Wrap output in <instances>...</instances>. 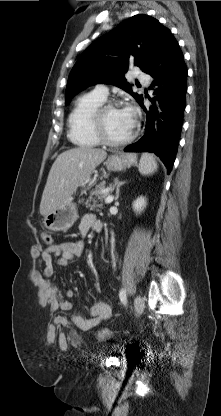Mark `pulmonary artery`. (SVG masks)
Listing matches in <instances>:
<instances>
[{"mask_svg": "<svg viewBox=\"0 0 221 416\" xmlns=\"http://www.w3.org/2000/svg\"><path fill=\"white\" fill-rule=\"evenodd\" d=\"M138 79H139V81H140L141 83L148 84V77H147V76H145V75H140ZM94 91H95L97 94H99V95H101V96H103V97H107V96H108V94H109V92H108V88H107V87H106V85H104V84H98V85H96V86H95V88H94Z\"/></svg>", "mask_w": 221, "mask_h": 416, "instance_id": "1", "label": "pulmonary artery"}]
</instances>
